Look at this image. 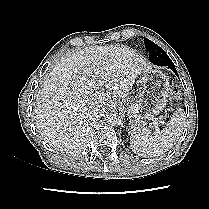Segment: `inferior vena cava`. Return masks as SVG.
Masks as SVG:
<instances>
[{"instance_id":"obj_1","label":"inferior vena cava","mask_w":209,"mask_h":209,"mask_svg":"<svg viewBox=\"0 0 209 209\" xmlns=\"http://www.w3.org/2000/svg\"><path fill=\"white\" fill-rule=\"evenodd\" d=\"M94 118H99V113H94Z\"/></svg>"}]
</instances>
